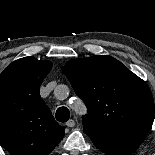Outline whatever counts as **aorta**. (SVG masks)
<instances>
[{
  "mask_svg": "<svg viewBox=\"0 0 155 155\" xmlns=\"http://www.w3.org/2000/svg\"><path fill=\"white\" fill-rule=\"evenodd\" d=\"M68 92H69L68 87L63 84L58 85L54 90L55 96L58 99H64L66 97V95L68 94Z\"/></svg>",
  "mask_w": 155,
  "mask_h": 155,
  "instance_id": "762f6f07",
  "label": "aorta"
}]
</instances>
